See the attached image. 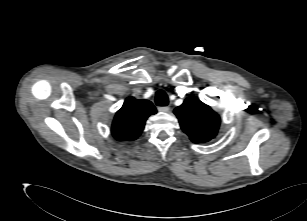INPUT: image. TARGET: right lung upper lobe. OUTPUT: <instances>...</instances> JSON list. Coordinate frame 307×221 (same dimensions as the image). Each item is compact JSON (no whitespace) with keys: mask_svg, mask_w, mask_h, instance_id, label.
<instances>
[{"mask_svg":"<svg viewBox=\"0 0 307 221\" xmlns=\"http://www.w3.org/2000/svg\"><path fill=\"white\" fill-rule=\"evenodd\" d=\"M155 113L150 101L128 97L115 115L112 135L118 141L135 140L142 133L146 119Z\"/></svg>","mask_w":307,"mask_h":221,"instance_id":"1","label":"right lung upper lobe"}]
</instances>
